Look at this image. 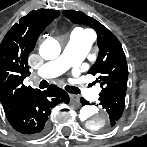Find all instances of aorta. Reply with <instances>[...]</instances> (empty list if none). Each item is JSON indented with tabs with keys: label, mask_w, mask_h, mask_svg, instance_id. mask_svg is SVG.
I'll list each match as a JSON object with an SVG mask.
<instances>
[{
	"label": "aorta",
	"mask_w": 147,
	"mask_h": 147,
	"mask_svg": "<svg viewBox=\"0 0 147 147\" xmlns=\"http://www.w3.org/2000/svg\"><path fill=\"white\" fill-rule=\"evenodd\" d=\"M61 52L60 44L53 38H47L40 46V56L45 60L56 59ZM79 118L85 126L94 132L106 129L109 117L105 111L99 110L95 106L84 105L79 111Z\"/></svg>",
	"instance_id": "762f6f07"
}]
</instances>
